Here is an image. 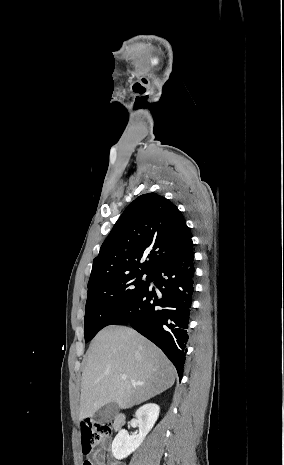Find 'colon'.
Wrapping results in <instances>:
<instances>
[{
	"label": "colon",
	"mask_w": 284,
	"mask_h": 465,
	"mask_svg": "<svg viewBox=\"0 0 284 465\" xmlns=\"http://www.w3.org/2000/svg\"><path fill=\"white\" fill-rule=\"evenodd\" d=\"M111 434L109 422H94L81 432V453L84 457L89 455L95 442L102 441ZM83 465H92V462L85 460Z\"/></svg>",
	"instance_id": "colon-1"
}]
</instances>
